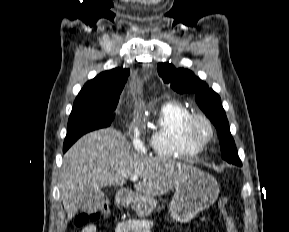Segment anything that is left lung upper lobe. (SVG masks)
I'll return each instance as SVG.
<instances>
[{
	"mask_svg": "<svg viewBox=\"0 0 289 232\" xmlns=\"http://www.w3.org/2000/svg\"><path fill=\"white\" fill-rule=\"evenodd\" d=\"M157 71L163 81L169 83L174 91L180 94H195L198 106L217 128L222 158L229 163L241 166L242 163L238 157L219 95L208 88L207 84L190 70L176 69L169 63H159Z\"/></svg>",
	"mask_w": 289,
	"mask_h": 232,
	"instance_id": "1",
	"label": "left lung upper lobe"
}]
</instances>
